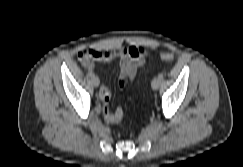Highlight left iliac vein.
<instances>
[{
  "label": "left iliac vein",
  "mask_w": 243,
  "mask_h": 167,
  "mask_svg": "<svg viewBox=\"0 0 243 167\" xmlns=\"http://www.w3.org/2000/svg\"><path fill=\"white\" fill-rule=\"evenodd\" d=\"M161 84V79L159 78H154L151 82V86L154 90L158 89Z\"/></svg>",
  "instance_id": "4c4485c4"
}]
</instances>
